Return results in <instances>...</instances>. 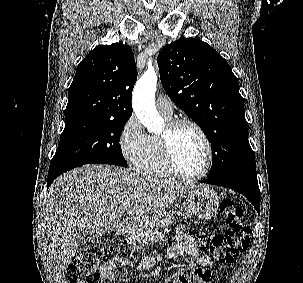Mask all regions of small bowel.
Returning <instances> with one entry per match:
<instances>
[{"label":"small bowel","instance_id":"small-bowel-1","mask_svg":"<svg viewBox=\"0 0 303 283\" xmlns=\"http://www.w3.org/2000/svg\"><path fill=\"white\" fill-rule=\"evenodd\" d=\"M179 241L173 244L165 253L158 256L156 259H146L142 261L137 269L144 271L149 269L156 260H160L165 257L169 260H175L183 255H188L198 267L205 271L204 275L200 279V283H213L212 272L206 270L213 266L212 259L205 254H202L198 248V245L192 236L184 233V225L178 227ZM120 265L131 268L132 263L125 258L112 257L100 266L99 281L100 283H107L115 280L114 270Z\"/></svg>","mask_w":303,"mask_h":283}]
</instances>
